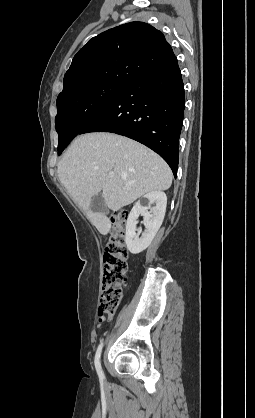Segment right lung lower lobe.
<instances>
[{"label":"right lung lower lobe","mask_w":255,"mask_h":418,"mask_svg":"<svg viewBox=\"0 0 255 418\" xmlns=\"http://www.w3.org/2000/svg\"><path fill=\"white\" fill-rule=\"evenodd\" d=\"M184 107L177 62L128 84L79 134L112 132L134 139L158 153L176 177Z\"/></svg>","instance_id":"1"}]
</instances>
